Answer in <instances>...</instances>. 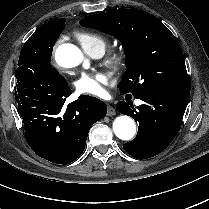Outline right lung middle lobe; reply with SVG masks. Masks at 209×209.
Wrapping results in <instances>:
<instances>
[{"label":"right lung middle lobe","mask_w":209,"mask_h":209,"mask_svg":"<svg viewBox=\"0 0 209 209\" xmlns=\"http://www.w3.org/2000/svg\"><path fill=\"white\" fill-rule=\"evenodd\" d=\"M65 21L64 18L49 21L27 40L20 52L19 67L15 71L16 79L34 73L51 80L66 82L50 64L53 46L65 28Z\"/></svg>","instance_id":"obj_1"}]
</instances>
